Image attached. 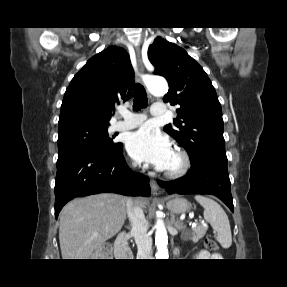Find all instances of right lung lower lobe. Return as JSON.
<instances>
[{"label": "right lung lower lobe", "instance_id": "98d812e1", "mask_svg": "<svg viewBox=\"0 0 287 287\" xmlns=\"http://www.w3.org/2000/svg\"><path fill=\"white\" fill-rule=\"evenodd\" d=\"M112 192L127 196H150L149 179L131 171L123 147L113 156L72 152L58 156L55 182V217L75 197Z\"/></svg>", "mask_w": 287, "mask_h": 287}]
</instances>
